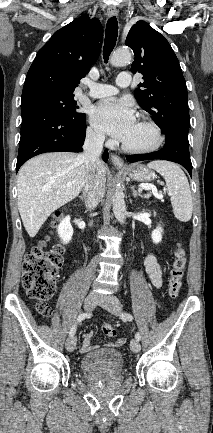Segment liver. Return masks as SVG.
<instances>
[{
    "label": "liver",
    "instance_id": "liver-1",
    "mask_svg": "<svg viewBox=\"0 0 213 433\" xmlns=\"http://www.w3.org/2000/svg\"><path fill=\"white\" fill-rule=\"evenodd\" d=\"M100 170L106 175L101 162ZM86 177V164L80 155L68 152L46 153L27 161L17 177V204L23 225L34 237L47 218L76 198ZM70 183V186L67 184Z\"/></svg>",
    "mask_w": 213,
    "mask_h": 433
}]
</instances>
